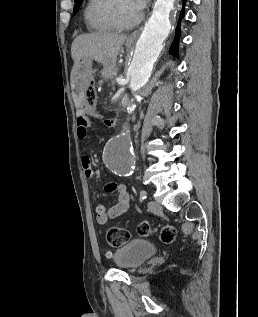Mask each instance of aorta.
I'll use <instances>...</instances> for the list:
<instances>
[{
    "instance_id": "762f6f07",
    "label": "aorta",
    "mask_w": 258,
    "mask_h": 317,
    "mask_svg": "<svg viewBox=\"0 0 258 317\" xmlns=\"http://www.w3.org/2000/svg\"><path fill=\"white\" fill-rule=\"evenodd\" d=\"M175 0H157L151 17L145 24V28L137 41L132 62L129 67L132 93L140 90L149 80L153 65L157 61L163 42L171 29L170 12L174 8ZM136 105L131 104L127 109L132 113ZM103 159L107 168L119 176L132 174L135 157L132 150L130 128L128 122L122 126L120 133L112 137L103 153Z\"/></svg>"
}]
</instances>
